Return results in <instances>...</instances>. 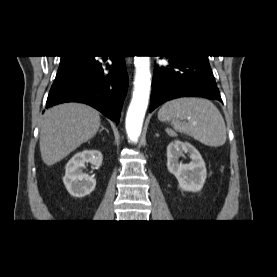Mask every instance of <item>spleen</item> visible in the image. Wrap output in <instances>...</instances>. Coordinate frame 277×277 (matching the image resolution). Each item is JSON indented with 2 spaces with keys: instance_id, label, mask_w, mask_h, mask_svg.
I'll return each mask as SVG.
<instances>
[{
  "instance_id": "obj_1",
  "label": "spleen",
  "mask_w": 277,
  "mask_h": 277,
  "mask_svg": "<svg viewBox=\"0 0 277 277\" xmlns=\"http://www.w3.org/2000/svg\"><path fill=\"white\" fill-rule=\"evenodd\" d=\"M158 119L207 146L218 147L226 142L224 119L217 107L207 99L171 100L160 108Z\"/></svg>"
}]
</instances>
